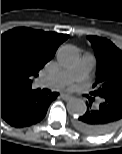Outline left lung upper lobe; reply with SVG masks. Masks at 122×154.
I'll list each match as a JSON object with an SVG mask.
<instances>
[{"instance_id": "5c2ea615", "label": "left lung upper lobe", "mask_w": 122, "mask_h": 154, "mask_svg": "<svg viewBox=\"0 0 122 154\" xmlns=\"http://www.w3.org/2000/svg\"><path fill=\"white\" fill-rule=\"evenodd\" d=\"M97 58V78L90 95L104 98L105 95L122 90V51L111 41L97 36H88Z\"/></svg>"}]
</instances>
